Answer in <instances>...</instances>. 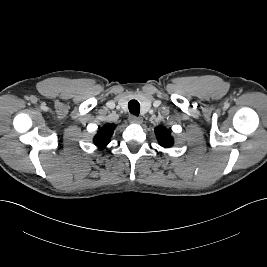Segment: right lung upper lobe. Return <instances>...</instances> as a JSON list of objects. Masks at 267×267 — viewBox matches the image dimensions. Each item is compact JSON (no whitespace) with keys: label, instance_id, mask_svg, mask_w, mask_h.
<instances>
[{"label":"right lung upper lobe","instance_id":"cb5924a9","mask_svg":"<svg viewBox=\"0 0 267 267\" xmlns=\"http://www.w3.org/2000/svg\"><path fill=\"white\" fill-rule=\"evenodd\" d=\"M115 125H106L98 130L97 135L94 137V143L99 148H105L110 142V138L114 132Z\"/></svg>","mask_w":267,"mask_h":267}]
</instances>
